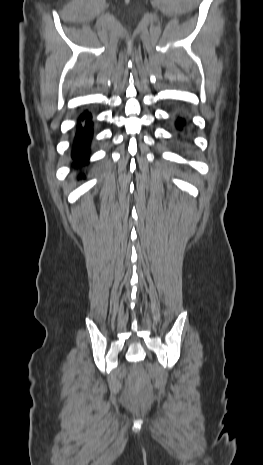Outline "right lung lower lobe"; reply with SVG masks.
Returning <instances> with one entry per match:
<instances>
[{"label": "right lung lower lobe", "mask_w": 263, "mask_h": 465, "mask_svg": "<svg viewBox=\"0 0 263 465\" xmlns=\"http://www.w3.org/2000/svg\"><path fill=\"white\" fill-rule=\"evenodd\" d=\"M81 120L86 121L85 126L78 123L77 133L73 143L72 158L78 164H86L89 159V144L92 138L91 114L85 112L80 116Z\"/></svg>", "instance_id": "obj_1"}]
</instances>
